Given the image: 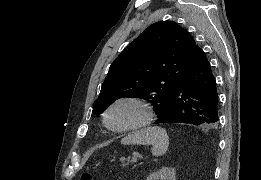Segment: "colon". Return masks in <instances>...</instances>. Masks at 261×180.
<instances>
[{
    "label": "colon",
    "instance_id": "colon-1",
    "mask_svg": "<svg viewBox=\"0 0 261 180\" xmlns=\"http://www.w3.org/2000/svg\"><path fill=\"white\" fill-rule=\"evenodd\" d=\"M91 176L89 173H81L79 176V180H90Z\"/></svg>",
    "mask_w": 261,
    "mask_h": 180
}]
</instances>
